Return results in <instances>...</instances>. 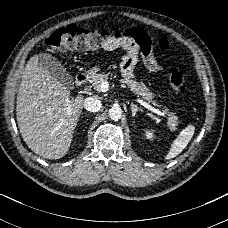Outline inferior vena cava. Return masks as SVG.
Here are the masks:
<instances>
[{
	"mask_svg": "<svg viewBox=\"0 0 228 228\" xmlns=\"http://www.w3.org/2000/svg\"><path fill=\"white\" fill-rule=\"evenodd\" d=\"M101 101L96 97H88L84 101V108L92 113H96L101 109Z\"/></svg>",
	"mask_w": 228,
	"mask_h": 228,
	"instance_id": "obj_1",
	"label": "inferior vena cava"
}]
</instances>
